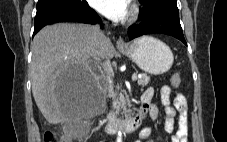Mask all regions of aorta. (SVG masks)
<instances>
[{
    "mask_svg": "<svg viewBox=\"0 0 227 142\" xmlns=\"http://www.w3.org/2000/svg\"><path fill=\"white\" fill-rule=\"evenodd\" d=\"M121 139H122V133H121V131H119V132H118L117 141H118V142H121Z\"/></svg>",
    "mask_w": 227,
    "mask_h": 142,
    "instance_id": "762f6f07",
    "label": "aorta"
}]
</instances>
